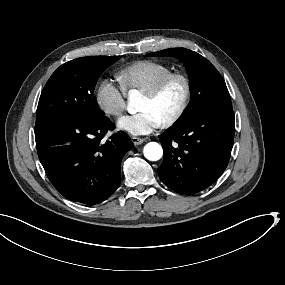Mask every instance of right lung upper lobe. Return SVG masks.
<instances>
[{"mask_svg": "<svg viewBox=\"0 0 285 285\" xmlns=\"http://www.w3.org/2000/svg\"><path fill=\"white\" fill-rule=\"evenodd\" d=\"M92 57L102 60L106 63H114L121 58V56H92Z\"/></svg>", "mask_w": 285, "mask_h": 285, "instance_id": "cb5924a9", "label": "right lung upper lobe"}]
</instances>
